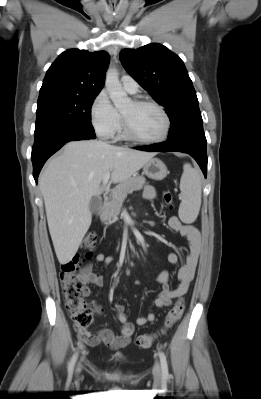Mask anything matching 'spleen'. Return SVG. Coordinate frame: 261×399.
Returning <instances> with one entry per match:
<instances>
[{
  "mask_svg": "<svg viewBox=\"0 0 261 399\" xmlns=\"http://www.w3.org/2000/svg\"><path fill=\"white\" fill-rule=\"evenodd\" d=\"M182 201L179 206V218L184 223H193L201 206V174L188 163L183 166L180 180Z\"/></svg>",
  "mask_w": 261,
  "mask_h": 399,
  "instance_id": "1",
  "label": "spleen"
}]
</instances>
